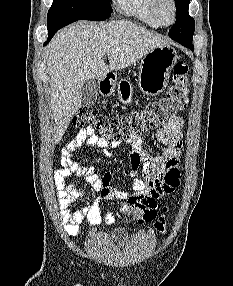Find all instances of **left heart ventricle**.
Wrapping results in <instances>:
<instances>
[{
	"mask_svg": "<svg viewBox=\"0 0 233 286\" xmlns=\"http://www.w3.org/2000/svg\"><path fill=\"white\" fill-rule=\"evenodd\" d=\"M172 14H173V12H172L171 5L166 0H162V2L160 3V6H159L160 18L164 22H170L172 19Z\"/></svg>",
	"mask_w": 233,
	"mask_h": 286,
	"instance_id": "b2bd125f",
	"label": "left heart ventricle"
}]
</instances>
